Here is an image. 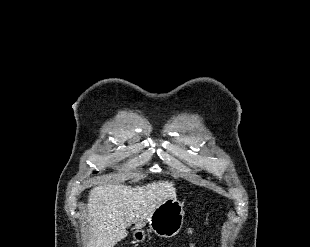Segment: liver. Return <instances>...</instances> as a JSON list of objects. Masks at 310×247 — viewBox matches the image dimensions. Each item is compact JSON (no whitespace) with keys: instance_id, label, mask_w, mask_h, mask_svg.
Masks as SVG:
<instances>
[{"instance_id":"liver-1","label":"liver","mask_w":310,"mask_h":247,"mask_svg":"<svg viewBox=\"0 0 310 247\" xmlns=\"http://www.w3.org/2000/svg\"><path fill=\"white\" fill-rule=\"evenodd\" d=\"M176 189L169 181L144 186L104 184L94 187L88 197V247H113L123 240L127 227L142 228L156 207L164 200L176 199Z\"/></svg>"}]
</instances>
